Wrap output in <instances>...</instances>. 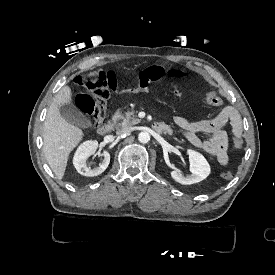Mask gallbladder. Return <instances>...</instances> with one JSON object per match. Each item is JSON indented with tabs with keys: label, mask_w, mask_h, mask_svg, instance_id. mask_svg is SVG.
I'll use <instances>...</instances> for the list:
<instances>
[{
	"label": "gallbladder",
	"mask_w": 275,
	"mask_h": 275,
	"mask_svg": "<svg viewBox=\"0 0 275 275\" xmlns=\"http://www.w3.org/2000/svg\"><path fill=\"white\" fill-rule=\"evenodd\" d=\"M61 116L70 124L79 128H88L91 121L73 104L63 105L59 108Z\"/></svg>",
	"instance_id": "obj_1"
}]
</instances>
